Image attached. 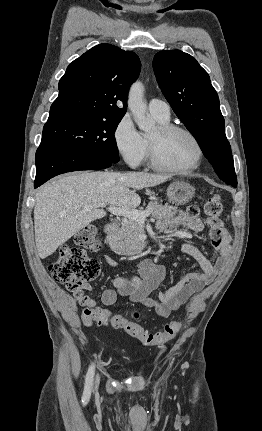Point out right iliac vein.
<instances>
[{"label": "right iliac vein", "mask_w": 262, "mask_h": 431, "mask_svg": "<svg viewBox=\"0 0 262 431\" xmlns=\"http://www.w3.org/2000/svg\"><path fill=\"white\" fill-rule=\"evenodd\" d=\"M98 383H99V376L96 377L95 385H98Z\"/></svg>", "instance_id": "63e3f726"}]
</instances>
